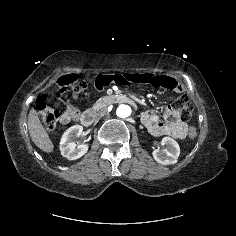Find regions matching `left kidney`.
<instances>
[{"label": "left kidney", "mask_w": 236, "mask_h": 236, "mask_svg": "<svg viewBox=\"0 0 236 236\" xmlns=\"http://www.w3.org/2000/svg\"><path fill=\"white\" fill-rule=\"evenodd\" d=\"M161 142H162V145L166 146V148L162 151L159 148L154 149L152 152L154 159L158 163L163 164V165L176 163L180 155L179 144L170 137L162 138Z\"/></svg>", "instance_id": "obj_1"}]
</instances>
